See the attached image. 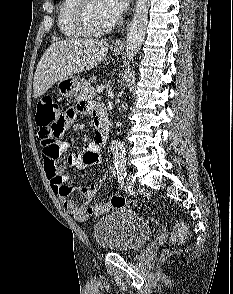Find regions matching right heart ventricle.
I'll return each instance as SVG.
<instances>
[{
    "label": "right heart ventricle",
    "mask_w": 233,
    "mask_h": 294,
    "mask_svg": "<svg viewBox=\"0 0 233 294\" xmlns=\"http://www.w3.org/2000/svg\"><path fill=\"white\" fill-rule=\"evenodd\" d=\"M79 0H61L57 12V24L60 32L68 39H81L87 34L80 28L75 18Z\"/></svg>",
    "instance_id": "right-heart-ventricle-1"
}]
</instances>
